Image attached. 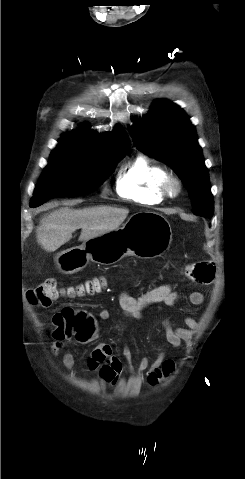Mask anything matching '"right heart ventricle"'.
<instances>
[{"mask_svg": "<svg viewBox=\"0 0 245 479\" xmlns=\"http://www.w3.org/2000/svg\"><path fill=\"white\" fill-rule=\"evenodd\" d=\"M167 174L162 165L144 156H136L120 170L116 181L117 193L140 204H159L165 198L161 184Z\"/></svg>", "mask_w": 245, "mask_h": 479, "instance_id": "obj_1", "label": "right heart ventricle"}]
</instances>
